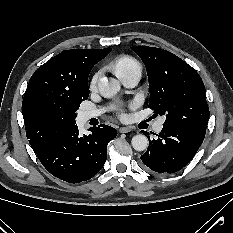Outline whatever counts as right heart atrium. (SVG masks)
Masks as SVG:
<instances>
[{
	"label": "right heart atrium",
	"instance_id": "obj_1",
	"mask_svg": "<svg viewBox=\"0 0 233 233\" xmlns=\"http://www.w3.org/2000/svg\"><path fill=\"white\" fill-rule=\"evenodd\" d=\"M99 78H100V72L95 73L90 82L91 89H94L96 87Z\"/></svg>",
	"mask_w": 233,
	"mask_h": 233
}]
</instances>
